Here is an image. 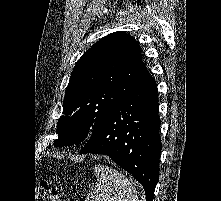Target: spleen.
Listing matches in <instances>:
<instances>
[{
	"label": "spleen",
	"mask_w": 221,
	"mask_h": 201,
	"mask_svg": "<svg viewBox=\"0 0 221 201\" xmlns=\"http://www.w3.org/2000/svg\"><path fill=\"white\" fill-rule=\"evenodd\" d=\"M94 173L97 181L85 201H138L136 189L118 170L98 164Z\"/></svg>",
	"instance_id": "spleen-1"
}]
</instances>
